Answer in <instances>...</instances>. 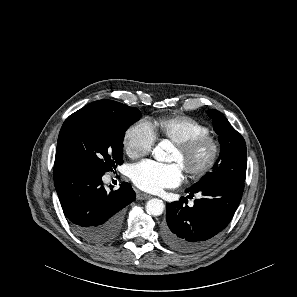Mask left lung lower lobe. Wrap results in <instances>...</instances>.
Listing matches in <instances>:
<instances>
[{"label": "left lung lower lobe", "mask_w": 297, "mask_h": 297, "mask_svg": "<svg viewBox=\"0 0 297 297\" xmlns=\"http://www.w3.org/2000/svg\"><path fill=\"white\" fill-rule=\"evenodd\" d=\"M244 190V184L218 181L187 189L189 196L202 198L187 206V199L166 204V223L162 227L164 242L171 248L191 252L205 246L231 221Z\"/></svg>", "instance_id": "left-lung-lower-lobe-1"}]
</instances>
